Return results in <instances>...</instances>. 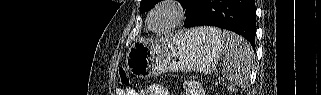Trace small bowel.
I'll list each match as a JSON object with an SVG mask.
<instances>
[{
	"label": "small bowel",
	"instance_id": "1",
	"mask_svg": "<svg viewBox=\"0 0 321 95\" xmlns=\"http://www.w3.org/2000/svg\"><path fill=\"white\" fill-rule=\"evenodd\" d=\"M196 94L202 95L203 91L198 89ZM126 95H169L167 88L161 84H153L148 89L138 92L135 89H127Z\"/></svg>",
	"mask_w": 321,
	"mask_h": 95
}]
</instances>
